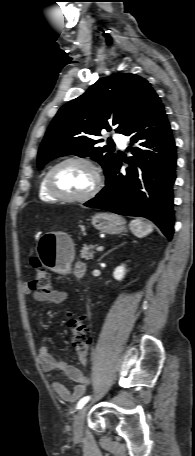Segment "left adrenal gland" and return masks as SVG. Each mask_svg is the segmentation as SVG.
<instances>
[{
	"mask_svg": "<svg viewBox=\"0 0 195 456\" xmlns=\"http://www.w3.org/2000/svg\"><path fill=\"white\" fill-rule=\"evenodd\" d=\"M123 244H125V242L122 243V244H120V246L123 245ZM117 247H118V246H117ZM117 247H115V248L109 250L107 253H105L104 255H102V256L100 257L99 261H100L104 256H106L107 254H109L111 251H113L114 249H116Z\"/></svg>",
	"mask_w": 195,
	"mask_h": 456,
	"instance_id": "1",
	"label": "left adrenal gland"
}]
</instances>
